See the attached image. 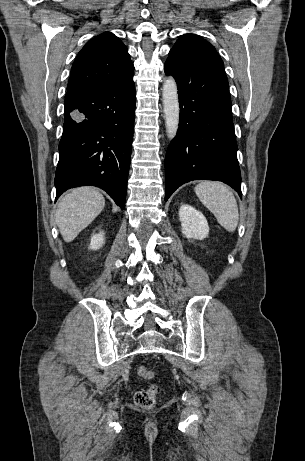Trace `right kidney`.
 <instances>
[{
    "label": "right kidney",
    "instance_id": "1",
    "mask_svg": "<svg viewBox=\"0 0 305 461\" xmlns=\"http://www.w3.org/2000/svg\"><path fill=\"white\" fill-rule=\"evenodd\" d=\"M104 244V233L100 232L98 234H94L91 237V242H90V249L97 250L100 247H102Z\"/></svg>",
    "mask_w": 305,
    "mask_h": 461
}]
</instances>
